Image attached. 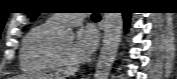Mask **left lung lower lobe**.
Here are the masks:
<instances>
[{"instance_id": "obj_1", "label": "left lung lower lobe", "mask_w": 177, "mask_h": 79, "mask_svg": "<svg viewBox=\"0 0 177 79\" xmlns=\"http://www.w3.org/2000/svg\"><path fill=\"white\" fill-rule=\"evenodd\" d=\"M123 17L125 20V27L127 28L129 25V21H130V13H123Z\"/></svg>"}]
</instances>
